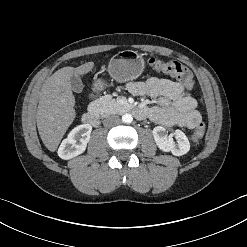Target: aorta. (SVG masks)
Instances as JSON below:
<instances>
[{
  "mask_svg": "<svg viewBox=\"0 0 247 247\" xmlns=\"http://www.w3.org/2000/svg\"><path fill=\"white\" fill-rule=\"evenodd\" d=\"M122 121L124 123L129 124V123H131L133 121V117H132L131 114L126 113V114L122 115Z\"/></svg>",
  "mask_w": 247,
  "mask_h": 247,
  "instance_id": "aorta-1",
  "label": "aorta"
}]
</instances>
